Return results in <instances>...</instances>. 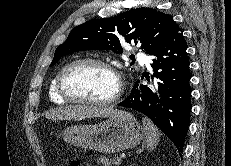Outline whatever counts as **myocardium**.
I'll return each mask as SVG.
<instances>
[{"instance_id": "f54148a6", "label": "myocardium", "mask_w": 231, "mask_h": 166, "mask_svg": "<svg viewBox=\"0 0 231 166\" xmlns=\"http://www.w3.org/2000/svg\"><path fill=\"white\" fill-rule=\"evenodd\" d=\"M86 64H94V65L102 66L114 75L117 82V88L113 96L103 100L83 99L73 96L66 90L64 86V78L66 73L75 66L86 65ZM56 86L59 95L66 101L81 104V105L105 106V107L115 104L120 99L123 91L122 80L116 68L107 60L101 58H94V57L76 59L65 65L57 75Z\"/></svg>"}]
</instances>
